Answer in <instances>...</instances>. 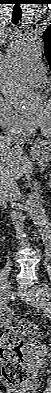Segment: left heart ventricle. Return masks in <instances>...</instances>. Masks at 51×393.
Listing matches in <instances>:
<instances>
[{
    "label": "left heart ventricle",
    "instance_id": "left-heart-ventricle-1",
    "mask_svg": "<svg viewBox=\"0 0 51 393\" xmlns=\"http://www.w3.org/2000/svg\"><path fill=\"white\" fill-rule=\"evenodd\" d=\"M35 117L46 130H51V103L42 102L36 110Z\"/></svg>",
    "mask_w": 51,
    "mask_h": 393
}]
</instances>
